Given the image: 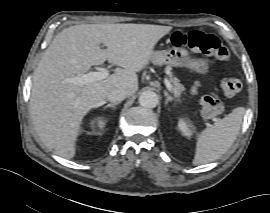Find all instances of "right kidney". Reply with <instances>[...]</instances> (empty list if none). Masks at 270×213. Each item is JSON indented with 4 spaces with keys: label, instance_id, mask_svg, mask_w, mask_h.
Returning a JSON list of instances; mask_svg holds the SVG:
<instances>
[{
    "label": "right kidney",
    "instance_id": "right-kidney-1",
    "mask_svg": "<svg viewBox=\"0 0 270 213\" xmlns=\"http://www.w3.org/2000/svg\"><path fill=\"white\" fill-rule=\"evenodd\" d=\"M105 122H106V120L104 119V118H98L97 120H96V126L99 128V129H103L104 128V126H105Z\"/></svg>",
    "mask_w": 270,
    "mask_h": 213
}]
</instances>
